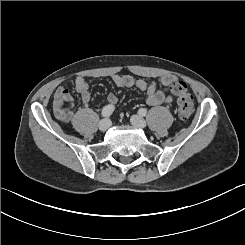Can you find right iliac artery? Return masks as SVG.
Instances as JSON below:
<instances>
[{"instance_id":"82829eb1","label":"right iliac artery","mask_w":245,"mask_h":245,"mask_svg":"<svg viewBox=\"0 0 245 245\" xmlns=\"http://www.w3.org/2000/svg\"><path fill=\"white\" fill-rule=\"evenodd\" d=\"M114 111L113 105H107L102 109V116L103 117H109Z\"/></svg>"}]
</instances>
